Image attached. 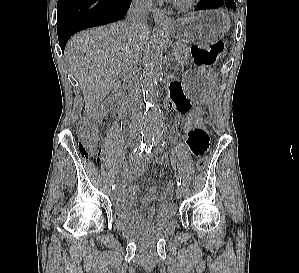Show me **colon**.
<instances>
[{"mask_svg":"<svg viewBox=\"0 0 299 273\" xmlns=\"http://www.w3.org/2000/svg\"><path fill=\"white\" fill-rule=\"evenodd\" d=\"M192 55L198 64L214 65L219 63L226 52L224 41L218 40L209 46L194 45L191 47ZM203 120V109L199 106L194 107L182 121L181 126L186 134L191 130L201 127ZM98 131L96 125L91 121H84L77 129V146L80 154L89 160L98 161L100 148L97 145ZM207 164V159L201 157L196 162V169L201 172ZM176 196L178 198L177 192ZM174 205L176 199L171 201Z\"/></svg>","mask_w":299,"mask_h":273,"instance_id":"5ec220e1","label":"colon"}]
</instances>
